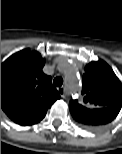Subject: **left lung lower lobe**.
<instances>
[{
  "label": "left lung lower lobe",
  "mask_w": 122,
  "mask_h": 154,
  "mask_svg": "<svg viewBox=\"0 0 122 154\" xmlns=\"http://www.w3.org/2000/svg\"><path fill=\"white\" fill-rule=\"evenodd\" d=\"M118 113L119 109L103 108L101 109L99 116L97 115L96 117L86 119L89 122L88 126L82 124L81 126L86 129H96L104 124L111 122Z\"/></svg>",
  "instance_id": "0a47b994"
}]
</instances>
